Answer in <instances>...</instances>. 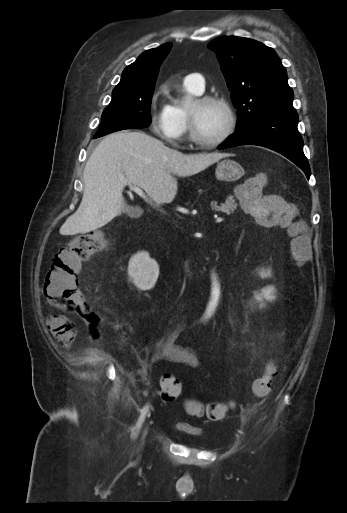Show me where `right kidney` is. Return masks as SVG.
<instances>
[{"instance_id":"ca27d5eb","label":"right kidney","mask_w":347,"mask_h":513,"mask_svg":"<svg viewBox=\"0 0 347 513\" xmlns=\"http://www.w3.org/2000/svg\"><path fill=\"white\" fill-rule=\"evenodd\" d=\"M128 275L140 290H149L155 286L159 275V266L147 252L132 257L128 265Z\"/></svg>"}]
</instances>
